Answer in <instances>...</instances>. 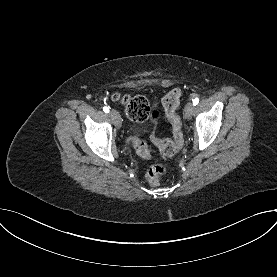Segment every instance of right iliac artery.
Returning a JSON list of instances; mask_svg holds the SVG:
<instances>
[{
    "mask_svg": "<svg viewBox=\"0 0 277 277\" xmlns=\"http://www.w3.org/2000/svg\"><path fill=\"white\" fill-rule=\"evenodd\" d=\"M103 111L105 112V113H109V108L108 107H103Z\"/></svg>",
    "mask_w": 277,
    "mask_h": 277,
    "instance_id": "obj_1",
    "label": "right iliac artery"
}]
</instances>
